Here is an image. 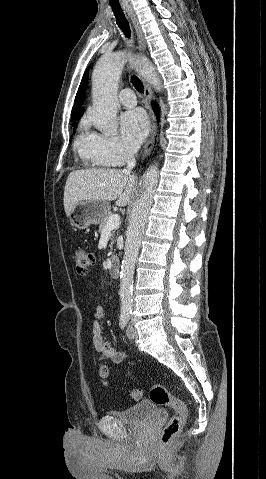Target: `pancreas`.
Listing matches in <instances>:
<instances>
[{"mask_svg":"<svg viewBox=\"0 0 266 479\" xmlns=\"http://www.w3.org/2000/svg\"><path fill=\"white\" fill-rule=\"evenodd\" d=\"M111 216H112V214L109 213V214L101 221V223H100V225H99V232H102V231L104 230V228H105V226H106V224H107V221H108V219H109ZM113 238H114V231H112V234H111V239H112V242H111V245H110L111 250H112V245H113V243H114Z\"/></svg>","mask_w":266,"mask_h":479,"instance_id":"obj_1","label":"pancreas"}]
</instances>
